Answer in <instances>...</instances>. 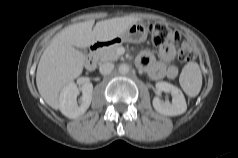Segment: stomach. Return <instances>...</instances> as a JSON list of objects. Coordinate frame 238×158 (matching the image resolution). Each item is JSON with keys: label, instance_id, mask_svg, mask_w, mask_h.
Masks as SVG:
<instances>
[{"label": "stomach", "instance_id": "obj_1", "mask_svg": "<svg viewBox=\"0 0 238 158\" xmlns=\"http://www.w3.org/2000/svg\"><path fill=\"white\" fill-rule=\"evenodd\" d=\"M147 34L148 30L146 26L138 22L129 26L122 34L110 41L116 44L121 42L141 43L146 40Z\"/></svg>", "mask_w": 238, "mask_h": 158}]
</instances>
